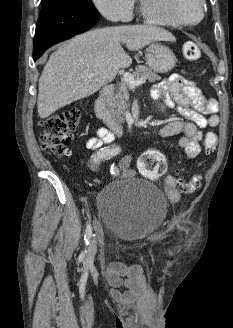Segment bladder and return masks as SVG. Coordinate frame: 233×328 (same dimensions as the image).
I'll use <instances>...</instances> for the list:
<instances>
[{
  "label": "bladder",
  "instance_id": "31cf9c89",
  "mask_svg": "<svg viewBox=\"0 0 233 328\" xmlns=\"http://www.w3.org/2000/svg\"><path fill=\"white\" fill-rule=\"evenodd\" d=\"M98 218L102 227L120 240L146 238L164 222L168 202L152 183L131 179L113 182L97 196Z\"/></svg>",
  "mask_w": 233,
  "mask_h": 328
}]
</instances>
